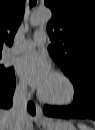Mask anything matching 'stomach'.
<instances>
[{
	"label": "stomach",
	"mask_w": 95,
	"mask_h": 130,
	"mask_svg": "<svg viewBox=\"0 0 95 130\" xmlns=\"http://www.w3.org/2000/svg\"><path fill=\"white\" fill-rule=\"evenodd\" d=\"M42 126L44 130H76L71 121L61 119L50 120L47 123H43Z\"/></svg>",
	"instance_id": "obj_1"
}]
</instances>
